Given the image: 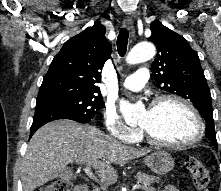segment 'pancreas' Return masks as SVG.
Wrapping results in <instances>:
<instances>
[{"mask_svg": "<svg viewBox=\"0 0 221 191\" xmlns=\"http://www.w3.org/2000/svg\"><path fill=\"white\" fill-rule=\"evenodd\" d=\"M135 179L137 180L138 183L141 184L142 189L147 188L148 186H150L155 182L158 183L160 180L158 177H155L153 175H148L145 173H138L135 176ZM93 191H99V188H95Z\"/></svg>", "mask_w": 221, "mask_h": 191, "instance_id": "cf45deb5", "label": "pancreas"}]
</instances>
